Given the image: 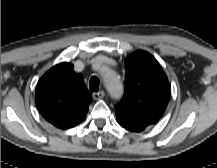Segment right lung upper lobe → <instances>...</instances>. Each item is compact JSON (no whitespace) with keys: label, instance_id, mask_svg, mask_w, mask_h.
I'll list each match as a JSON object with an SVG mask.
<instances>
[{"label":"right lung upper lobe","instance_id":"right-lung-upper-lobe-1","mask_svg":"<svg viewBox=\"0 0 217 168\" xmlns=\"http://www.w3.org/2000/svg\"><path fill=\"white\" fill-rule=\"evenodd\" d=\"M91 100L80 75L68 62L52 67L36 86L35 101L39 112L61 129L78 125L86 116Z\"/></svg>","mask_w":217,"mask_h":168}]
</instances>
